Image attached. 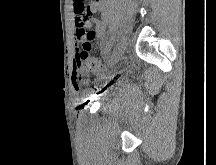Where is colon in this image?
I'll return each mask as SVG.
<instances>
[{"label":"colon","mask_w":216,"mask_h":165,"mask_svg":"<svg viewBox=\"0 0 216 165\" xmlns=\"http://www.w3.org/2000/svg\"><path fill=\"white\" fill-rule=\"evenodd\" d=\"M91 17V13H83L84 19H89ZM83 44L80 49L77 50L76 53V61L77 65L85 64L90 70L94 72H104L106 70L105 65L98 58L93 57L90 54V43L95 33L92 30H83L81 32Z\"/></svg>","instance_id":"obj_1"}]
</instances>
